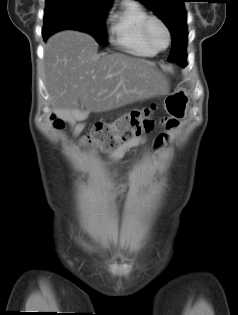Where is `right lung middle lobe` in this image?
I'll use <instances>...</instances> for the list:
<instances>
[{
  "mask_svg": "<svg viewBox=\"0 0 238 315\" xmlns=\"http://www.w3.org/2000/svg\"><path fill=\"white\" fill-rule=\"evenodd\" d=\"M110 6L92 0H46L43 39L53 33L74 29L92 35L106 45L105 17Z\"/></svg>",
  "mask_w": 238,
  "mask_h": 315,
  "instance_id": "1",
  "label": "right lung middle lobe"
}]
</instances>
